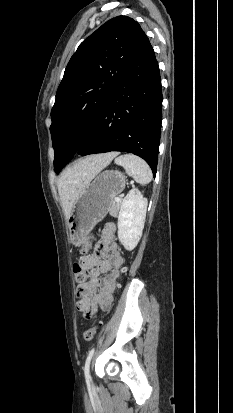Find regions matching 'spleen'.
<instances>
[{"label":"spleen","instance_id":"3e777b00","mask_svg":"<svg viewBox=\"0 0 233 413\" xmlns=\"http://www.w3.org/2000/svg\"><path fill=\"white\" fill-rule=\"evenodd\" d=\"M115 163L122 166L126 173L141 185H146L152 180L153 175L149 165L138 156L124 154L117 157Z\"/></svg>","mask_w":233,"mask_h":413}]
</instances>
